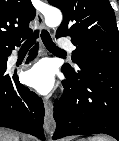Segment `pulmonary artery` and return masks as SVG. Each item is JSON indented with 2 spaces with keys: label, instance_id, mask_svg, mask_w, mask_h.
<instances>
[{
  "label": "pulmonary artery",
  "instance_id": "1",
  "mask_svg": "<svg viewBox=\"0 0 119 141\" xmlns=\"http://www.w3.org/2000/svg\"><path fill=\"white\" fill-rule=\"evenodd\" d=\"M59 46L62 47V48H66L70 51H73L74 50V46L70 43V42H67V41H59ZM18 60V56L17 55H13L11 57V62L12 63H15L16 61Z\"/></svg>",
  "mask_w": 119,
  "mask_h": 141
}]
</instances>
